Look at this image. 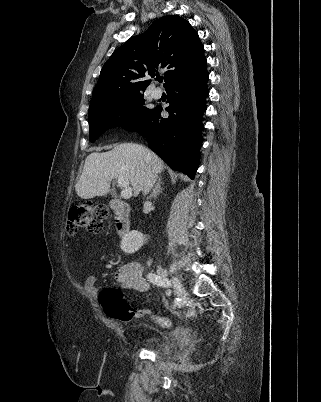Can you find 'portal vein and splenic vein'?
Returning a JSON list of instances; mask_svg holds the SVG:
<instances>
[{
  "instance_id": "1",
  "label": "portal vein and splenic vein",
  "mask_w": 321,
  "mask_h": 402,
  "mask_svg": "<svg viewBox=\"0 0 321 402\" xmlns=\"http://www.w3.org/2000/svg\"><path fill=\"white\" fill-rule=\"evenodd\" d=\"M118 186L122 188L121 196L125 199L132 197V188L129 186V180L126 178H118Z\"/></svg>"
}]
</instances>
